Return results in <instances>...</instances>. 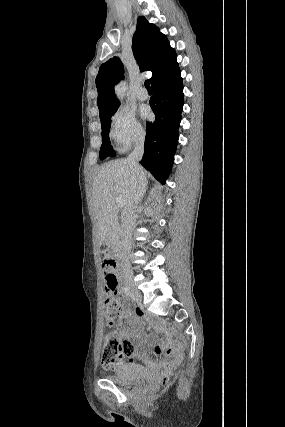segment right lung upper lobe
I'll use <instances>...</instances> for the list:
<instances>
[{"mask_svg":"<svg viewBox=\"0 0 285 427\" xmlns=\"http://www.w3.org/2000/svg\"><path fill=\"white\" fill-rule=\"evenodd\" d=\"M132 51L141 72H152L150 78L152 87L180 71L176 61L177 55L169 45L166 36L144 16L137 20V29L132 39ZM120 79H123V64L118 57H113L100 66L96 87L101 121L113 115L119 107V101L114 94V85Z\"/></svg>","mask_w":285,"mask_h":427,"instance_id":"cb5924a9","label":"right lung upper lobe"}]
</instances>
